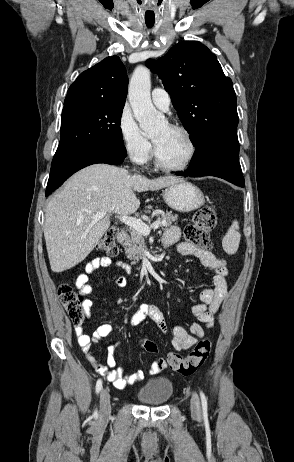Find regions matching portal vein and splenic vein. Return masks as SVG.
<instances>
[{
	"label": "portal vein and splenic vein",
	"mask_w": 294,
	"mask_h": 462,
	"mask_svg": "<svg viewBox=\"0 0 294 462\" xmlns=\"http://www.w3.org/2000/svg\"><path fill=\"white\" fill-rule=\"evenodd\" d=\"M106 216L105 212H99L93 216V219L98 220ZM119 220L129 226L130 228L137 230L143 235H149L151 229H157L161 225L160 221H155L150 226L145 224L141 219L130 217V216H120Z\"/></svg>",
	"instance_id": "portal-vein-and-splenic-vein-1"
}]
</instances>
